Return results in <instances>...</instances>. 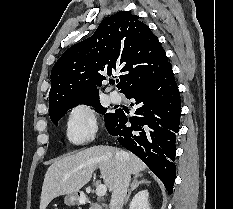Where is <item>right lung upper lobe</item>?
I'll return each mask as SVG.
<instances>
[{
  "label": "right lung upper lobe",
  "instance_id": "right-lung-upper-lobe-1",
  "mask_svg": "<svg viewBox=\"0 0 233 209\" xmlns=\"http://www.w3.org/2000/svg\"><path fill=\"white\" fill-rule=\"evenodd\" d=\"M170 65L158 38L127 11L103 19L95 33L68 48L51 71L49 112L68 104L99 99L95 85L118 73L127 94Z\"/></svg>",
  "mask_w": 233,
  "mask_h": 209
}]
</instances>
